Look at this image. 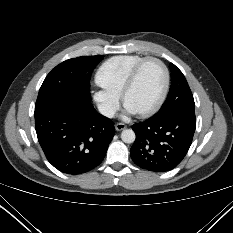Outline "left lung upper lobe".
Listing matches in <instances>:
<instances>
[{"instance_id": "1", "label": "left lung upper lobe", "mask_w": 233, "mask_h": 233, "mask_svg": "<svg viewBox=\"0 0 233 233\" xmlns=\"http://www.w3.org/2000/svg\"><path fill=\"white\" fill-rule=\"evenodd\" d=\"M170 69L172 85L166 101L152 116L154 119H161L179 111H194L193 95L183 73L172 63H170Z\"/></svg>"}]
</instances>
